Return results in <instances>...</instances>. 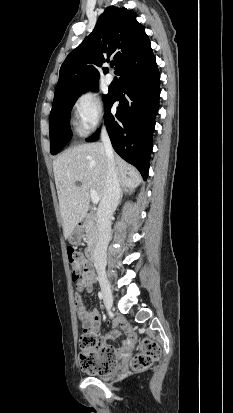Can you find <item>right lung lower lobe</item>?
<instances>
[{"mask_svg": "<svg viewBox=\"0 0 233 413\" xmlns=\"http://www.w3.org/2000/svg\"><path fill=\"white\" fill-rule=\"evenodd\" d=\"M115 73L120 76L121 88L120 92H109L105 125L115 151L146 180L160 97V74L150 42L125 60ZM115 101L120 103L117 113L112 115L110 109ZM99 133L100 130L88 141H95Z\"/></svg>", "mask_w": 233, "mask_h": 413, "instance_id": "right-lung-lower-lobe-1", "label": "right lung lower lobe"}]
</instances>
